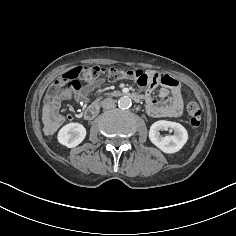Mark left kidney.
I'll list each match as a JSON object with an SVG mask.
<instances>
[{
    "mask_svg": "<svg viewBox=\"0 0 236 236\" xmlns=\"http://www.w3.org/2000/svg\"><path fill=\"white\" fill-rule=\"evenodd\" d=\"M174 130V135L162 136L161 130ZM150 141L164 153L178 152L188 140L187 130L179 123L159 120L153 123L149 130Z\"/></svg>",
    "mask_w": 236,
    "mask_h": 236,
    "instance_id": "5707ae66",
    "label": "left kidney"
}]
</instances>
